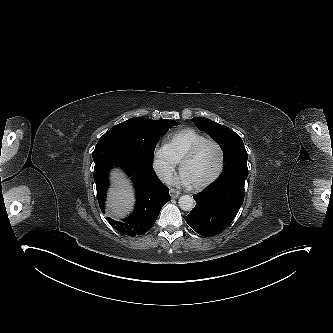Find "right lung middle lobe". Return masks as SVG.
<instances>
[{
  "label": "right lung middle lobe",
  "instance_id": "dd1d6c3e",
  "mask_svg": "<svg viewBox=\"0 0 333 333\" xmlns=\"http://www.w3.org/2000/svg\"><path fill=\"white\" fill-rule=\"evenodd\" d=\"M177 123L173 120H148L135 117L112 127L105 135L126 142L148 165L152 166L158 139Z\"/></svg>",
  "mask_w": 333,
  "mask_h": 333
}]
</instances>
